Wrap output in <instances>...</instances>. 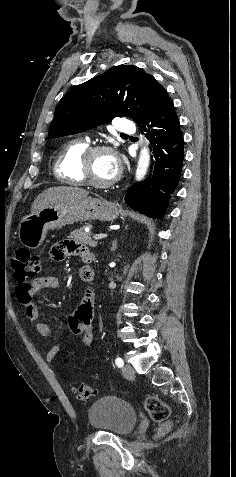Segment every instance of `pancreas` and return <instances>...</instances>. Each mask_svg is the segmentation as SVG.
<instances>
[{
	"mask_svg": "<svg viewBox=\"0 0 236 477\" xmlns=\"http://www.w3.org/2000/svg\"><path fill=\"white\" fill-rule=\"evenodd\" d=\"M85 227L74 230L69 238L77 244L89 245L90 247H96L97 242L93 241L90 232H85Z\"/></svg>",
	"mask_w": 236,
	"mask_h": 477,
	"instance_id": "obj_1",
	"label": "pancreas"
}]
</instances>
